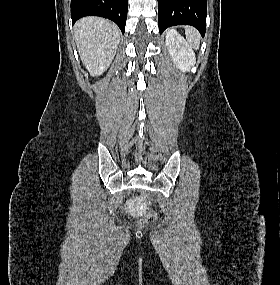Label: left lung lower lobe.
<instances>
[{
	"mask_svg": "<svg viewBox=\"0 0 280 285\" xmlns=\"http://www.w3.org/2000/svg\"><path fill=\"white\" fill-rule=\"evenodd\" d=\"M206 0H158V26L162 33L175 25H192L202 37L206 30Z\"/></svg>",
	"mask_w": 280,
	"mask_h": 285,
	"instance_id": "obj_1",
	"label": "left lung lower lobe"
}]
</instances>
